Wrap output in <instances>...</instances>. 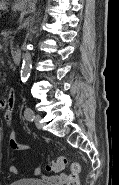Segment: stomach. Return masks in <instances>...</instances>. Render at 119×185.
Returning a JSON list of instances; mask_svg holds the SVG:
<instances>
[{"mask_svg":"<svg viewBox=\"0 0 119 185\" xmlns=\"http://www.w3.org/2000/svg\"><path fill=\"white\" fill-rule=\"evenodd\" d=\"M25 8V2L20 3V5L18 6L19 10H23Z\"/></svg>","mask_w":119,"mask_h":185,"instance_id":"stomach-1","label":"stomach"}]
</instances>
